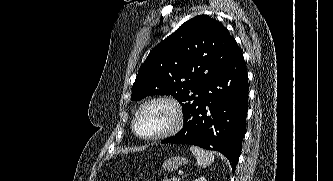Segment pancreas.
<instances>
[{
	"instance_id": "pancreas-1",
	"label": "pancreas",
	"mask_w": 333,
	"mask_h": 181,
	"mask_svg": "<svg viewBox=\"0 0 333 181\" xmlns=\"http://www.w3.org/2000/svg\"><path fill=\"white\" fill-rule=\"evenodd\" d=\"M163 181H172L171 179H164Z\"/></svg>"
}]
</instances>
